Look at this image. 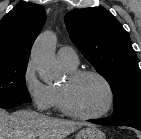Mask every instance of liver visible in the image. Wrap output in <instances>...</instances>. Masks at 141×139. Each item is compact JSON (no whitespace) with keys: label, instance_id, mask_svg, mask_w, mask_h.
<instances>
[{"label":"liver","instance_id":"6515ba94","mask_svg":"<svg viewBox=\"0 0 141 139\" xmlns=\"http://www.w3.org/2000/svg\"><path fill=\"white\" fill-rule=\"evenodd\" d=\"M86 123L53 118L30 110L0 109V139H65Z\"/></svg>","mask_w":141,"mask_h":139}]
</instances>
